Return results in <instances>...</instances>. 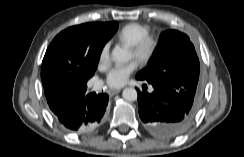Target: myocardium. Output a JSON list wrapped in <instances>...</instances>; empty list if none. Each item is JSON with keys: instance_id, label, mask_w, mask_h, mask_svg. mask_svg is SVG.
Segmentation results:
<instances>
[{"instance_id": "myocardium-1", "label": "myocardium", "mask_w": 244, "mask_h": 157, "mask_svg": "<svg viewBox=\"0 0 244 157\" xmlns=\"http://www.w3.org/2000/svg\"><path fill=\"white\" fill-rule=\"evenodd\" d=\"M159 43L158 37L149 34L133 44L131 50L140 63H148L157 53Z\"/></svg>"}]
</instances>
